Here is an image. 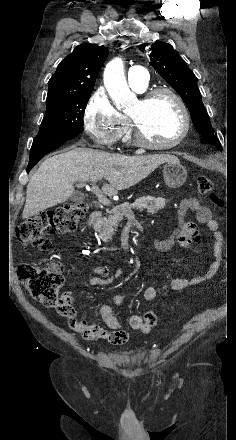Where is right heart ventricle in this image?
Here are the masks:
<instances>
[{
	"label": "right heart ventricle",
	"instance_id": "1",
	"mask_svg": "<svg viewBox=\"0 0 236 440\" xmlns=\"http://www.w3.org/2000/svg\"><path fill=\"white\" fill-rule=\"evenodd\" d=\"M136 91H144V90H138V89H134ZM122 116V115H121ZM123 120H124V130H123V137L125 138V140L129 141L131 140V133H130V129H129V123L128 120L125 116H122Z\"/></svg>",
	"mask_w": 236,
	"mask_h": 440
}]
</instances>
